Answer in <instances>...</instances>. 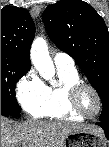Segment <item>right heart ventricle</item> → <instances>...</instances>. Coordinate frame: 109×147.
I'll return each mask as SVG.
<instances>
[{"label":"right heart ventricle","mask_w":109,"mask_h":147,"mask_svg":"<svg viewBox=\"0 0 109 147\" xmlns=\"http://www.w3.org/2000/svg\"><path fill=\"white\" fill-rule=\"evenodd\" d=\"M58 84L46 86L47 100L41 104L27 105L25 111L36 118H51L60 121L80 122L84 118L72 111L68 102L70 87L81 81L74 69L57 68Z\"/></svg>","instance_id":"1"}]
</instances>
